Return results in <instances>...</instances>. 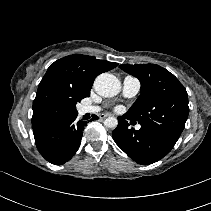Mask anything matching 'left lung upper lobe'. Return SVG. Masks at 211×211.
Returning <instances> with one entry per match:
<instances>
[{"label":"left lung upper lobe","instance_id":"1","mask_svg":"<svg viewBox=\"0 0 211 211\" xmlns=\"http://www.w3.org/2000/svg\"><path fill=\"white\" fill-rule=\"evenodd\" d=\"M120 68L141 82V95L127 116L177 142L189 114L184 86L172 73L156 64H123Z\"/></svg>","mask_w":211,"mask_h":211}]
</instances>
